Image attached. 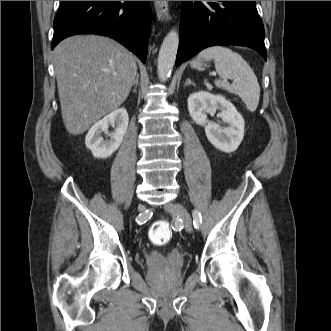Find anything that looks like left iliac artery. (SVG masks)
<instances>
[{
    "label": "left iliac artery",
    "instance_id": "44dca946",
    "mask_svg": "<svg viewBox=\"0 0 331 331\" xmlns=\"http://www.w3.org/2000/svg\"><path fill=\"white\" fill-rule=\"evenodd\" d=\"M202 223L201 214L199 211L194 210L193 211V224L196 229H199Z\"/></svg>",
    "mask_w": 331,
    "mask_h": 331
}]
</instances>
